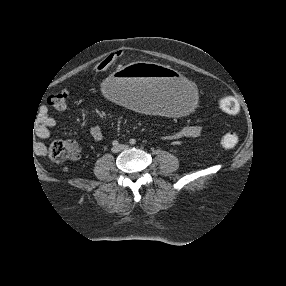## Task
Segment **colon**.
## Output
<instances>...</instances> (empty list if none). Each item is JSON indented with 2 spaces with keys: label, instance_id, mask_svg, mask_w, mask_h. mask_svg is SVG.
Returning <instances> with one entry per match:
<instances>
[{
  "label": "colon",
  "instance_id": "5ec220e1",
  "mask_svg": "<svg viewBox=\"0 0 286 286\" xmlns=\"http://www.w3.org/2000/svg\"><path fill=\"white\" fill-rule=\"evenodd\" d=\"M118 61L117 54H111L104 58L95 67L96 73H107L112 70ZM69 99V90L62 89L57 93H54L48 98V104L54 109L61 110L66 107L67 101ZM220 109L229 115H237L240 113V104L234 97H223L219 101ZM239 135L234 131H228L224 133L220 139L222 147L226 149L235 148L239 144ZM49 157L55 162H63L70 155V151L67 145L63 142H53L49 146Z\"/></svg>",
  "mask_w": 286,
  "mask_h": 286
}]
</instances>
